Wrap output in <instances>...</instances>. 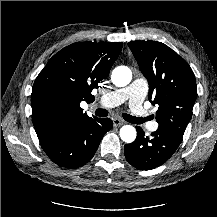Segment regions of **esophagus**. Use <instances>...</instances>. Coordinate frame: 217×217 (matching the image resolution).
I'll return each instance as SVG.
<instances>
[{
  "instance_id": "1",
  "label": "esophagus",
  "mask_w": 217,
  "mask_h": 217,
  "mask_svg": "<svg viewBox=\"0 0 217 217\" xmlns=\"http://www.w3.org/2000/svg\"><path fill=\"white\" fill-rule=\"evenodd\" d=\"M113 124H114L115 127H117V126L123 125L124 122L119 118H115V119H113Z\"/></svg>"
}]
</instances>
